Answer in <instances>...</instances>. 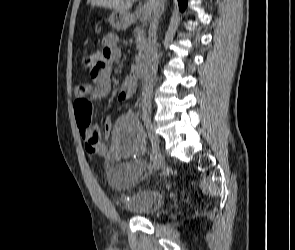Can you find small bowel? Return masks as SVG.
I'll return each instance as SVG.
<instances>
[{
	"label": "small bowel",
	"mask_w": 295,
	"mask_h": 250,
	"mask_svg": "<svg viewBox=\"0 0 295 250\" xmlns=\"http://www.w3.org/2000/svg\"><path fill=\"white\" fill-rule=\"evenodd\" d=\"M118 38L108 34L102 39V49L92 54L93 66L90 81L77 86L75 95L78 99L99 100L106 97L111 91V64L121 59V50L118 47ZM137 88L134 76L127 78L121 85L118 98L120 101L129 99ZM103 129L112 139L111 147L100 138L98 126L80 128L85 149L94 155H110L119 163L110 167L108 179L112 187L117 190L130 188L146 168V162L139 158L143 153V132L133 112L122 114L112 124L109 116L104 119ZM134 158L123 162L126 158Z\"/></svg>",
	"instance_id": "obj_1"
}]
</instances>
